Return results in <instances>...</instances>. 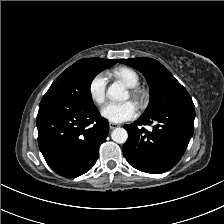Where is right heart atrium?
Wrapping results in <instances>:
<instances>
[{
	"instance_id": "d8ad5b80",
	"label": "right heart atrium",
	"mask_w": 224,
	"mask_h": 224,
	"mask_svg": "<svg viewBox=\"0 0 224 224\" xmlns=\"http://www.w3.org/2000/svg\"><path fill=\"white\" fill-rule=\"evenodd\" d=\"M107 77L104 73L96 74L89 82L88 93L90 99L98 106H101L106 99Z\"/></svg>"
}]
</instances>
